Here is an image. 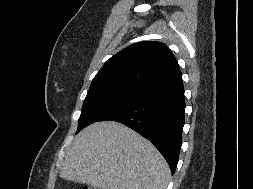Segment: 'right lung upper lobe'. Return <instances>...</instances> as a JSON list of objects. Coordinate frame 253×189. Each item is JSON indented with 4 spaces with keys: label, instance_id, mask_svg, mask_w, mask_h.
Here are the masks:
<instances>
[{
    "label": "right lung upper lobe",
    "instance_id": "cb5924a9",
    "mask_svg": "<svg viewBox=\"0 0 253 189\" xmlns=\"http://www.w3.org/2000/svg\"><path fill=\"white\" fill-rule=\"evenodd\" d=\"M182 80L176 58L163 43L132 44L108 59L92 80L89 90L128 86L146 91Z\"/></svg>",
    "mask_w": 253,
    "mask_h": 189
}]
</instances>
